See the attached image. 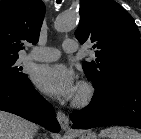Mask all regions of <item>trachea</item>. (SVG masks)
Wrapping results in <instances>:
<instances>
[{
	"label": "trachea",
	"instance_id": "3493384b",
	"mask_svg": "<svg viewBox=\"0 0 141 139\" xmlns=\"http://www.w3.org/2000/svg\"><path fill=\"white\" fill-rule=\"evenodd\" d=\"M62 0H57V3L60 4Z\"/></svg>",
	"mask_w": 141,
	"mask_h": 139
}]
</instances>
